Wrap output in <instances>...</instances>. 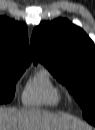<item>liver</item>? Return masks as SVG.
Instances as JSON below:
<instances>
[{
  "mask_svg": "<svg viewBox=\"0 0 95 130\" xmlns=\"http://www.w3.org/2000/svg\"><path fill=\"white\" fill-rule=\"evenodd\" d=\"M82 124L67 114L27 108L14 110L1 108L0 130H80Z\"/></svg>",
  "mask_w": 95,
  "mask_h": 130,
  "instance_id": "obj_1",
  "label": "liver"
}]
</instances>
